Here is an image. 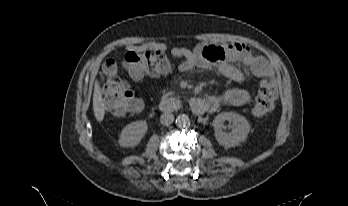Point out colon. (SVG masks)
I'll return each instance as SVG.
<instances>
[{"instance_id": "5ec220e1", "label": "colon", "mask_w": 348, "mask_h": 206, "mask_svg": "<svg viewBox=\"0 0 348 206\" xmlns=\"http://www.w3.org/2000/svg\"><path fill=\"white\" fill-rule=\"evenodd\" d=\"M123 64L134 79L144 75L159 76L168 72L169 58L161 50L128 51L123 58ZM104 106L115 114L137 112L141 109V101L134 95L127 82L118 73L114 60H109L103 71ZM275 89L267 81L259 82L256 102L252 108L255 117H262L274 109Z\"/></svg>"}]
</instances>
